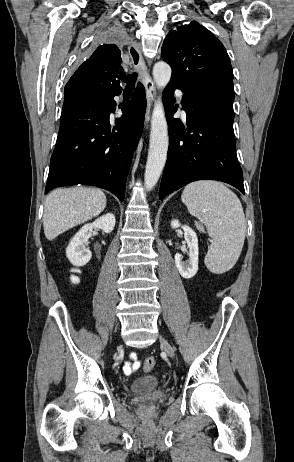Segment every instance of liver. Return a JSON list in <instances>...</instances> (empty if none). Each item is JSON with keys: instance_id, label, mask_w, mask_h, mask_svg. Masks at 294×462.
<instances>
[{"instance_id": "obj_1", "label": "liver", "mask_w": 294, "mask_h": 462, "mask_svg": "<svg viewBox=\"0 0 294 462\" xmlns=\"http://www.w3.org/2000/svg\"><path fill=\"white\" fill-rule=\"evenodd\" d=\"M100 189L74 187L56 189L45 200L43 228L48 240L98 216L106 207Z\"/></svg>"}]
</instances>
